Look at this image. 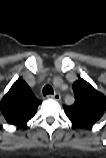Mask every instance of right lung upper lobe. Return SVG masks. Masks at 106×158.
Here are the masks:
<instances>
[{
	"mask_svg": "<svg viewBox=\"0 0 106 158\" xmlns=\"http://www.w3.org/2000/svg\"><path fill=\"white\" fill-rule=\"evenodd\" d=\"M41 103L26 82L19 78L0 101V112L9 124L23 125L36 113Z\"/></svg>",
	"mask_w": 106,
	"mask_h": 158,
	"instance_id": "obj_1",
	"label": "right lung upper lobe"
}]
</instances>
